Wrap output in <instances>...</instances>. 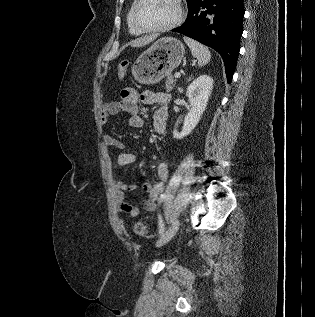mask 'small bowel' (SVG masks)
Wrapping results in <instances>:
<instances>
[{
    "mask_svg": "<svg viewBox=\"0 0 315 317\" xmlns=\"http://www.w3.org/2000/svg\"><path fill=\"white\" fill-rule=\"evenodd\" d=\"M169 101L170 95L163 92L144 91L139 93L134 89L127 88L122 90L119 100L108 102L103 106L101 123L105 125L110 116L123 112L129 116L128 123L131 127L140 128L143 126L144 121L139 113V104L156 105L152 116L153 129L157 134L162 135L167 128ZM103 142L108 147H115L117 149L124 147L122 141L110 134L103 136ZM136 159L137 156L134 153L122 152L117 155L116 164L123 167L134 163ZM169 168L170 166L167 161H160L156 166L157 180L155 182H146L142 185H137L115 181V198L120 212L130 217H138L141 214L155 211L157 209V202L164 191L165 181L169 176ZM139 188L148 195L142 201V212L137 206L129 204L125 197L126 192L135 191Z\"/></svg>",
    "mask_w": 315,
    "mask_h": 317,
    "instance_id": "c3829d8e",
    "label": "small bowel"
}]
</instances>
